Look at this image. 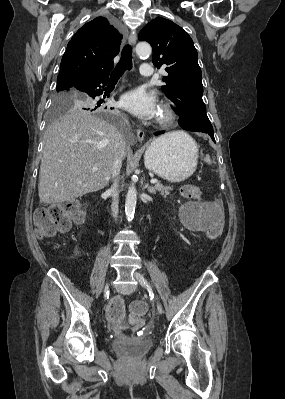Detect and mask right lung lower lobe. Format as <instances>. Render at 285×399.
Wrapping results in <instances>:
<instances>
[{"label":"right lung lower lobe","mask_w":285,"mask_h":399,"mask_svg":"<svg viewBox=\"0 0 285 399\" xmlns=\"http://www.w3.org/2000/svg\"><path fill=\"white\" fill-rule=\"evenodd\" d=\"M109 76V75H108ZM107 75L87 76L81 79L74 85V88L88 94L91 97H96L102 94L103 88L108 81Z\"/></svg>","instance_id":"1"}]
</instances>
